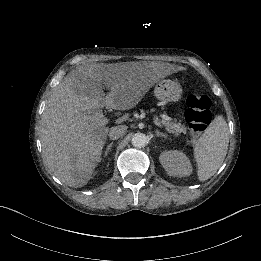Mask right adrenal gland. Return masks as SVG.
Wrapping results in <instances>:
<instances>
[{
    "instance_id": "1",
    "label": "right adrenal gland",
    "mask_w": 261,
    "mask_h": 261,
    "mask_svg": "<svg viewBox=\"0 0 261 261\" xmlns=\"http://www.w3.org/2000/svg\"><path fill=\"white\" fill-rule=\"evenodd\" d=\"M112 146H113V142H111V143L107 146L106 151H105V153H104V157H106V156L108 155V152L111 150Z\"/></svg>"
}]
</instances>
